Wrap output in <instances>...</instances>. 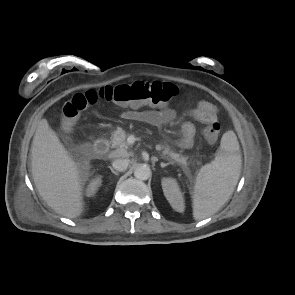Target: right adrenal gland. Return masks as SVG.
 Here are the masks:
<instances>
[{
	"label": "right adrenal gland",
	"mask_w": 295,
	"mask_h": 295,
	"mask_svg": "<svg viewBox=\"0 0 295 295\" xmlns=\"http://www.w3.org/2000/svg\"><path fill=\"white\" fill-rule=\"evenodd\" d=\"M108 168L111 170V172H112L114 175H118V172L115 171L111 166H108Z\"/></svg>",
	"instance_id": "obj_1"
}]
</instances>
